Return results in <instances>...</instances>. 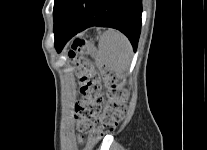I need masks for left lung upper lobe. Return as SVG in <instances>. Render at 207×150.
Masks as SVG:
<instances>
[{
	"mask_svg": "<svg viewBox=\"0 0 207 150\" xmlns=\"http://www.w3.org/2000/svg\"><path fill=\"white\" fill-rule=\"evenodd\" d=\"M65 2L66 0H55L54 1V11H53L54 23L57 20L59 13Z\"/></svg>",
	"mask_w": 207,
	"mask_h": 150,
	"instance_id": "5c2ea615",
	"label": "left lung upper lobe"
}]
</instances>
